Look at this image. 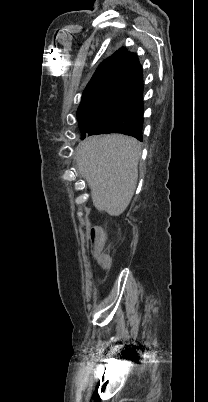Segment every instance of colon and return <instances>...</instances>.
Returning a JSON list of instances; mask_svg holds the SVG:
<instances>
[{
    "mask_svg": "<svg viewBox=\"0 0 208 402\" xmlns=\"http://www.w3.org/2000/svg\"><path fill=\"white\" fill-rule=\"evenodd\" d=\"M94 242L92 244V257H98L101 259V264L100 267L103 270L108 269L109 265L112 262L111 257L109 256V251L108 250H99L101 245L105 244V237L102 235L100 232H95L94 230Z\"/></svg>",
    "mask_w": 208,
    "mask_h": 402,
    "instance_id": "5ec220e1",
    "label": "colon"
}]
</instances>
